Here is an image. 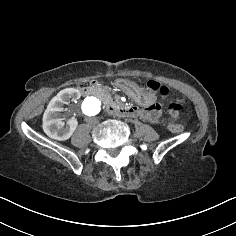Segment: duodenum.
Instances as JSON below:
<instances>
[{"mask_svg":"<svg viewBox=\"0 0 236 236\" xmlns=\"http://www.w3.org/2000/svg\"><path fill=\"white\" fill-rule=\"evenodd\" d=\"M80 93L83 96H90L92 94V89L89 86H81L79 88ZM108 110L110 113L122 116V117H135L141 114V110L134 106H109Z\"/></svg>","mask_w":236,"mask_h":236,"instance_id":"410a0bca","label":"duodenum"}]
</instances>
